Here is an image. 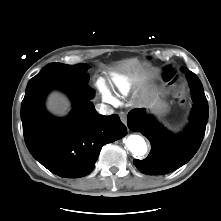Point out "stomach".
<instances>
[{
  "label": "stomach",
  "mask_w": 221,
  "mask_h": 221,
  "mask_svg": "<svg viewBox=\"0 0 221 221\" xmlns=\"http://www.w3.org/2000/svg\"><path fill=\"white\" fill-rule=\"evenodd\" d=\"M148 108L160 115H163L168 111V105L162 100H160V98L157 95H155L152 98V100L148 103Z\"/></svg>",
  "instance_id": "1"
}]
</instances>
